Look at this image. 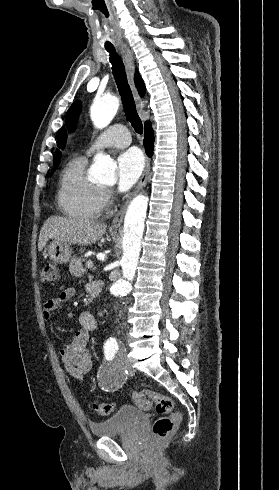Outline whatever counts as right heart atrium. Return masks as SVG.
Instances as JSON below:
<instances>
[{
    "label": "right heart atrium",
    "instance_id": "obj_1",
    "mask_svg": "<svg viewBox=\"0 0 279 490\" xmlns=\"http://www.w3.org/2000/svg\"><path fill=\"white\" fill-rule=\"evenodd\" d=\"M112 198V192L108 188H104L101 190L100 195V208L101 210L105 209Z\"/></svg>",
    "mask_w": 279,
    "mask_h": 490
}]
</instances>
